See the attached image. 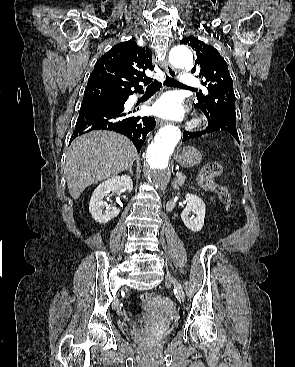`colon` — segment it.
Wrapping results in <instances>:
<instances>
[{"label": "colon", "mask_w": 295, "mask_h": 367, "mask_svg": "<svg viewBox=\"0 0 295 367\" xmlns=\"http://www.w3.org/2000/svg\"><path fill=\"white\" fill-rule=\"evenodd\" d=\"M222 173V166L218 162H211L206 164L200 174L199 185L202 190L206 192L216 193L220 201L225 205L226 208L231 206V194L230 191L219 185L216 182V178ZM152 297V293L145 292L142 298L147 300Z\"/></svg>", "instance_id": "obj_1"}]
</instances>
